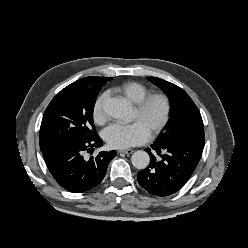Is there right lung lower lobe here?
Masks as SVG:
<instances>
[{
  "label": "right lung lower lobe",
  "mask_w": 248,
  "mask_h": 248,
  "mask_svg": "<svg viewBox=\"0 0 248 248\" xmlns=\"http://www.w3.org/2000/svg\"><path fill=\"white\" fill-rule=\"evenodd\" d=\"M96 135L90 139L72 138L42 151L47 167L60 186L72 193H81L97 186L116 151H101L96 157L84 158L86 151L102 146Z\"/></svg>",
  "instance_id": "1"
}]
</instances>
